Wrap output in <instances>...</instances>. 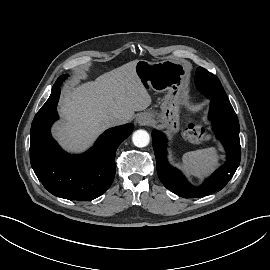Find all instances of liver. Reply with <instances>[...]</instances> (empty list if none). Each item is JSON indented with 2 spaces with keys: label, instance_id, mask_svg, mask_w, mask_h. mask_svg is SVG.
Returning <instances> with one entry per match:
<instances>
[{
  "label": "liver",
  "instance_id": "6515ba94",
  "mask_svg": "<svg viewBox=\"0 0 270 270\" xmlns=\"http://www.w3.org/2000/svg\"><path fill=\"white\" fill-rule=\"evenodd\" d=\"M137 61L106 72L65 94L60 101V113L66 122L54 127V134L64 147L83 150L111 126L110 117L121 115L128 122L135 111L150 106L151 97L135 72Z\"/></svg>",
  "mask_w": 270,
  "mask_h": 270
}]
</instances>
